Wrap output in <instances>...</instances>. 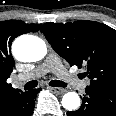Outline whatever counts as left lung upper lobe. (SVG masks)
<instances>
[{"mask_svg":"<svg viewBox=\"0 0 116 116\" xmlns=\"http://www.w3.org/2000/svg\"><path fill=\"white\" fill-rule=\"evenodd\" d=\"M52 48L70 66L85 68L89 87L116 90V30L94 21L45 23L41 29Z\"/></svg>","mask_w":116,"mask_h":116,"instance_id":"1","label":"left lung upper lobe"}]
</instances>
